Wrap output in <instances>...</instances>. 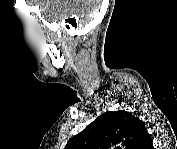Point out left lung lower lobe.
<instances>
[{
	"label": "left lung lower lobe",
	"instance_id": "left-lung-lower-lobe-1",
	"mask_svg": "<svg viewBox=\"0 0 177 149\" xmlns=\"http://www.w3.org/2000/svg\"><path fill=\"white\" fill-rule=\"evenodd\" d=\"M143 146H145L146 149H152L153 148L152 139H151L149 134H146L144 136V145Z\"/></svg>",
	"mask_w": 177,
	"mask_h": 149
}]
</instances>
